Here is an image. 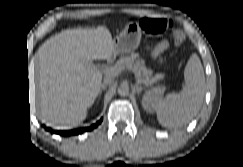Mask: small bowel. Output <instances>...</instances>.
Instances as JSON below:
<instances>
[{
	"label": "small bowel",
	"mask_w": 243,
	"mask_h": 167,
	"mask_svg": "<svg viewBox=\"0 0 243 167\" xmlns=\"http://www.w3.org/2000/svg\"><path fill=\"white\" fill-rule=\"evenodd\" d=\"M164 48H165V44H164V43L161 44V45H159V46L155 49V51H154V53H153V56H154L155 58L159 57V56L161 55V53H162V51H163Z\"/></svg>",
	"instance_id": "obj_1"
}]
</instances>
